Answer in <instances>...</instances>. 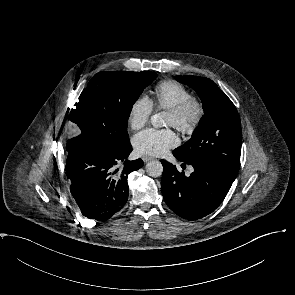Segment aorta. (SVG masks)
<instances>
[{"mask_svg": "<svg viewBox=\"0 0 295 295\" xmlns=\"http://www.w3.org/2000/svg\"><path fill=\"white\" fill-rule=\"evenodd\" d=\"M166 112L155 113L151 116V123L155 128L166 126ZM146 172L151 177H159L163 173V166L160 161L154 160L146 165Z\"/></svg>", "mask_w": 295, "mask_h": 295, "instance_id": "obj_1", "label": "aorta"}]
</instances>
